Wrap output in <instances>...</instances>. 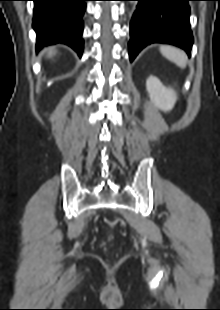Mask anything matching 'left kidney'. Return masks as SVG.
<instances>
[{
  "label": "left kidney",
  "instance_id": "1",
  "mask_svg": "<svg viewBox=\"0 0 220 310\" xmlns=\"http://www.w3.org/2000/svg\"><path fill=\"white\" fill-rule=\"evenodd\" d=\"M146 89L149 94L151 102L162 111H170L173 103L170 92L167 88L156 78L150 76L146 81Z\"/></svg>",
  "mask_w": 220,
  "mask_h": 310
}]
</instances>
